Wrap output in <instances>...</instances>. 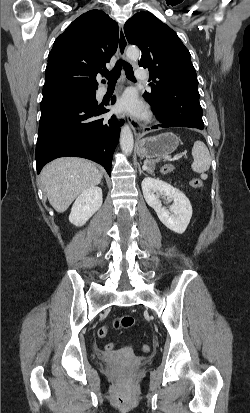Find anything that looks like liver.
Instances as JSON below:
<instances>
[{
  "label": "liver",
  "mask_w": 250,
  "mask_h": 413,
  "mask_svg": "<svg viewBox=\"0 0 250 413\" xmlns=\"http://www.w3.org/2000/svg\"><path fill=\"white\" fill-rule=\"evenodd\" d=\"M40 176L49 203L59 213L66 211L75 198L102 179V173L93 162L76 157L50 162Z\"/></svg>",
  "instance_id": "liver-1"
}]
</instances>
